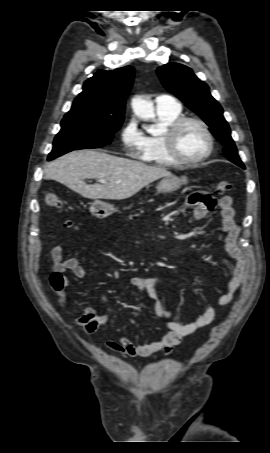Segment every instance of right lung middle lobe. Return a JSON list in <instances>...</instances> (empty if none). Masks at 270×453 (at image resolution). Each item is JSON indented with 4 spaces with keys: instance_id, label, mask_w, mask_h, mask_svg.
<instances>
[{
    "instance_id": "right-lung-middle-lobe-1",
    "label": "right lung middle lobe",
    "mask_w": 270,
    "mask_h": 453,
    "mask_svg": "<svg viewBox=\"0 0 270 453\" xmlns=\"http://www.w3.org/2000/svg\"><path fill=\"white\" fill-rule=\"evenodd\" d=\"M122 122L93 114L65 116L48 160L72 150L100 148L110 144Z\"/></svg>"
}]
</instances>
